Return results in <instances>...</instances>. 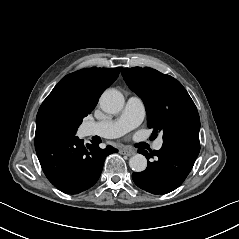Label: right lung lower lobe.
I'll return each mask as SVG.
<instances>
[{"label":"right lung lower lobe","instance_id":"1","mask_svg":"<svg viewBox=\"0 0 239 239\" xmlns=\"http://www.w3.org/2000/svg\"><path fill=\"white\" fill-rule=\"evenodd\" d=\"M94 143V142H93ZM35 148L44 174L60 191L78 194L99 179L106 156L118 152L83 143L75 134L56 128L37 129Z\"/></svg>","mask_w":239,"mask_h":239}]
</instances>
